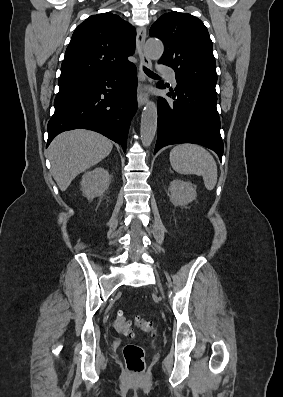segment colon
I'll use <instances>...</instances> for the list:
<instances>
[{
	"mask_svg": "<svg viewBox=\"0 0 283 397\" xmlns=\"http://www.w3.org/2000/svg\"><path fill=\"white\" fill-rule=\"evenodd\" d=\"M113 326L119 333L129 335L133 326L139 328L147 336L153 334L154 325L151 321L136 317L134 321L128 320L122 313L118 311L113 320ZM123 356L127 370L132 375H141L145 370V352L144 349L137 344H127L123 349Z\"/></svg>",
	"mask_w": 283,
	"mask_h": 397,
	"instance_id": "colon-1",
	"label": "colon"
}]
</instances>
